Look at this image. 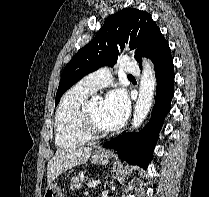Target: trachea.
Returning <instances> with one entry per match:
<instances>
[{"instance_id":"obj_1","label":"trachea","mask_w":209,"mask_h":197,"mask_svg":"<svg viewBox=\"0 0 209 197\" xmlns=\"http://www.w3.org/2000/svg\"><path fill=\"white\" fill-rule=\"evenodd\" d=\"M128 77H133L132 75H128Z\"/></svg>"}]
</instances>
